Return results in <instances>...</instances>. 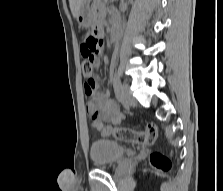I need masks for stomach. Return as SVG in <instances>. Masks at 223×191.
<instances>
[{
  "label": "stomach",
  "mask_w": 223,
  "mask_h": 191,
  "mask_svg": "<svg viewBox=\"0 0 223 191\" xmlns=\"http://www.w3.org/2000/svg\"><path fill=\"white\" fill-rule=\"evenodd\" d=\"M90 0H85L83 7L81 8L77 21L81 27L91 28L94 23L93 11L89 6Z\"/></svg>",
  "instance_id": "obj_1"
}]
</instances>
